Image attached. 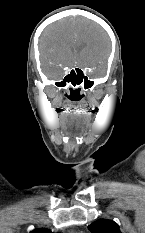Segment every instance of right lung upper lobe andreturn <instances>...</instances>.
Segmentation results:
<instances>
[{"mask_svg": "<svg viewBox=\"0 0 145 233\" xmlns=\"http://www.w3.org/2000/svg\"><path fill=\"white\" fill-rule=\"evenodd\" d=\"M31 233H52L50 230L41 228V229H35Z\"/></svg>", "mask_w": 145, "mask_h": 233, "instance_id": "1", "label": "right lung upper lobe"}]
</instances>
